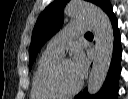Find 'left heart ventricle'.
I'll list each match as a JSON object with an SVG mask.
<instances>
[{
  "label": "left heart ventricle",
  "instance_id": "obj_1",
  "mask_svg": "<svg viewBox=\"0 0 128 99\" xmlns=\"http://www.w3.org/2000/svg\"><path fill=\"white\" fill-rule=\"evenodd\" d=\"M57 81L66 90L73 89L79 84L80 79L73 70L70 60L63 62L58 72Z\"/></svg>",
  "mask_w": 128,
  "mask_h": 99
}]
</instances>
